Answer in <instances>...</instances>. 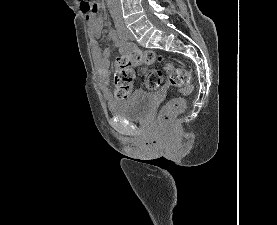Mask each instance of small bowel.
<instances>
[{"mask_svg":"<svg viewBox=\"0 0 277 225\" xmlns=\"http://www.w3.org/2000/svg\"><path fill=\"white\" fill-rule=\"evenodd\" d=\"M86 19L90 25V35H91V45H92V52L95 58V62L98 66H100V73H105L109 67V57L111 50L105 49L102 51L100 44L97 41V38L102 33L103 28V20L96 19L94 14H87ZM109 38L113 41V45L115 47H122L124 49L127 45H124L119 38V35L114 29L108 30ZM105 97L109 99L111 96L109 92L105 91Z\"/></svg>","mask_w":277,"mask_h":225,"instance_id":"1","label":"small bowel"}]
</instances>
